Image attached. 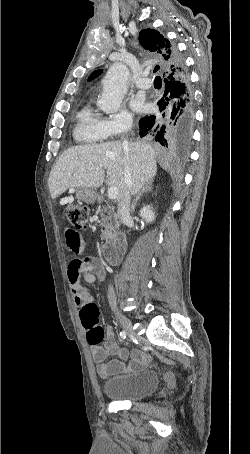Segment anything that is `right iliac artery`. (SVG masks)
<instances>
[{
	"label": "right iliac artery",
	"instance_id": "82829eb1",
	"mask_svg": "<svg viewBox=\"0 0 250 454\" xmlns=\"http://www.w3.org/2000/svg\"><path fill=\"white\" fill-rule=\"evenodd\" d=\"M120 337L122 339H125L126 338V332L125 331L120 332Z\"/></svg>",
	"mask_w": 250,
	"mask_h": 454
}]
</instances>
